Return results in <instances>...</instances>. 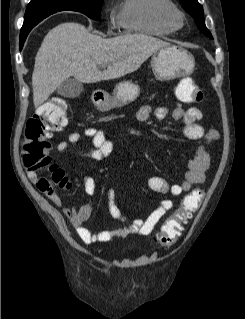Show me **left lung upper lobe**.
<instances>
[{
  "mask_svg": "<svg viewBox=\"0 0 245 319\" xmlns=\"http://www.w3.org/2000/svg\"><path fill=\"white\" fill-rule=\"evenodd\" d=\"M186 10L194 17L199 30L206 36L213 38L209 30L205 26L203 7L197 0H180Z\"/></svg>",
  "mask_w": 245,
  "mask_h": 319,
  "instance_id": "5c2ea615",
  "label": "left lung upper lobe"
}]
</instances>
